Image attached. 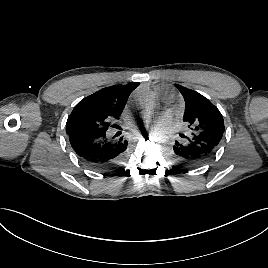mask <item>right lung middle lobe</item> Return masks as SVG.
<instances>
[{
    "label": "right lung middle lobe",
    "mask_w": 268,
    "mask_h": 268,
    "mask_svg": "<svg viewBox=\"0 0 268 268\" xmlns=\"http://www.w3.org/2000/svg\"><path fill=\"white\" fill-rule=\"evenodd\" d=\"M121 113L97 106L76 105L67 120L66 133L106 132L108 128L111 127L113 118L118 119Z\"/></svg>",
    "instance_id": "obj_1"
}]
</instances>
